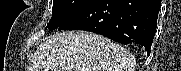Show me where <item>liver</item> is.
<instances>
[{
	"instance_id": "liver-1",
	"label": "liver",
	"mask_w": 181,
	"mask_h": 71,
	"mask_svg": "<svg viewBox=\"0 0 181 71\" xmlns=\"http://www.w3.org/2000/svg\"><path fill=\"white\" fill-rule=\"evenodd\" d=\"M131 53L101 35L70 31L45 40L33 55L31 71H134Z\"/></svg>"
}]
</instances>
